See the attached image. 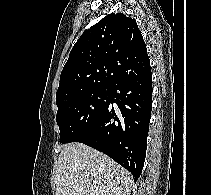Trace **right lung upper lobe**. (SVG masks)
<instances>
[{"mask_svg":"<svg viewBox=\"0 0 211 195\" xmlns=\"http://www.w3.org/2000/svg\"><path fill=\"white\" fill-rule=\"evenodd\" d=\"M150 68L142 34L134 19L112 13L85 31L73 46L60 76L56 104Z\"/></svg>","mask_w":211,"mask_h":195,"instance_id":"right-lung-upper-lobe-1","label":"right lung upper lobe"}]
</instances>
